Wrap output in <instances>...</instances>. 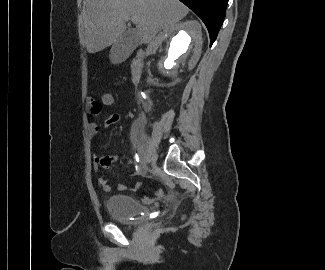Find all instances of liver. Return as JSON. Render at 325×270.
I'll use <instances>...</instances> for the list:
<instances>
[{"label": "liver", "mask_w": 325, "mask_h": 270, "mask_svg": "<svg viewBox=\"0 0 325 270\" xmlns=\"http://www.w3.org/2000/svg\"><path fill=\"white\" fill-rule=\"evenodd\" d=\"M189 9L178 0H87L85 46L89 53L114 44L126 30L128 17H137L140 41L152 53L159 45L156 35L183 19Z\"/></svg>", "instance_id": "liver-1"}]
</instances>
